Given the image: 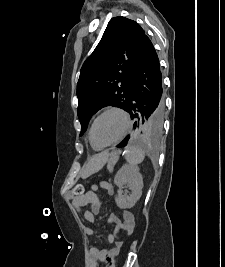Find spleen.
<instances>
[{
    "label": "spleen",
    "mask_w": 225,
    "mask_h": 267,
    "mask_svg": "<svg viewBox=\"0 0 225 267\" xmlns=\"http://www.w3.org/2000/svg\"><path fill=\"white\" fill-rule=\"evenodd\" d=\"M145 158V151L137 146H127L125 159L130 166H137L143 162Z\"/></svg>",
    "instance_id": "1"
}]
</instances>
